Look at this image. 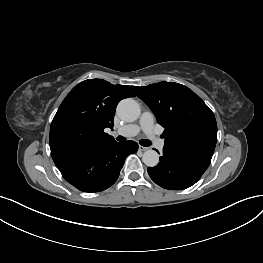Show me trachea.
<instances>
[{
    "instance_id": "3493384b",
    "label": "trachea",
    "mask_w": 263,
    "mask_h": 263,
    "mask_svg": "<svg viewBox=\"0 0 263 263\" xmlns=\"http://www.w3.org/2000/svg\"><path fill=\"white\" fill-rule=\"evenodd\" d=\"M117 140H118V141H121V142H124V141H126V138L123 137V136H118V137H117ZM140 144H141L142 146L148 147V146L151 145V141H150V140H146V139H142V140H140Z\"/></svg>"
}]
</instances>
